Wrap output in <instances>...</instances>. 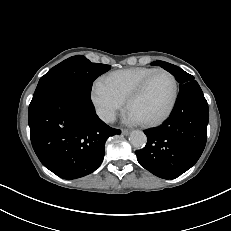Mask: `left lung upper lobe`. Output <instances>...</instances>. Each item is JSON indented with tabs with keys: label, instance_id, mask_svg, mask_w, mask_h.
Here are the masks:
<instances>
[{
	"label": "left lung upper lobe",
	"instance_id": "1",
	"mask_svg": "<svg viewBox=\"0 0 231 231\" xmlns=\"http://www.w3.org/2000/svg\"><path fill=\"white\" fill-rule=\"evenodd\" d=\"M152 65H159L168 72H170L172 75H174L176 80L180 83L179 88L182 84L194 80V77L192 75L188 74L187 72L173 64L157 60L156 62H153Z\"/></svg>",
	"mask_w": 231,
	"mask_h": 231
}]
</instances>
